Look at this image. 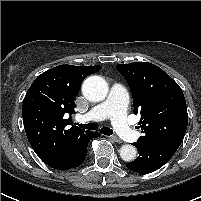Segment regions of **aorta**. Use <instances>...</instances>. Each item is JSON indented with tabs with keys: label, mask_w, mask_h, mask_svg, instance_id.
<instances>
[{
	"label": "aorta",
	"mask_w": 201,
	"mask_h": 201,
	"mask_svg": "<svg viewBox=\"0 0 201 201\" xmlns=\"http://www.w3.org/2000/svg\"><path fill=\"white\" fill-rule=\"evenodd\" d=\"M82 93L89 101H103L108 94L107 82L100 76H90L83 82ZM119 152L126 162L133 161L137 154L136 148L130 144L123 145Z\"/></svg>",
	"instance_id": "1"
}]
</instances>
